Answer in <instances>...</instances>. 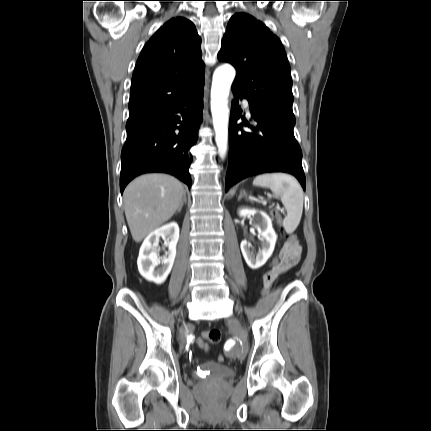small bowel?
Masks as SVG:
<instances>
[{"mask_svg":"<svg viewBox=\"0 0 431 431\" xmlns=\"http://www.w3.org/2000/svg\"><path fill=\"white\" fill-rule=\"evenodd\" d=\"M303 243L302 236H293V240L287 241L283 244L281 249L280 259H277V263H271L269 270L263 276V291L267 292L279 275L285 273L289 269L293 268L300 260L301 257V246Z\"/></svg>","mask_w":431,"mask_h":431,"instance_id":"small-bowel-1","label":"small bowel"}]
</instances>
